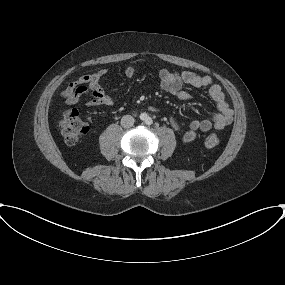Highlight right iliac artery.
Instances as JSON below:
<instances>
[{
	"instance_id": "1",
	"label": "right iliac artery",
	"mask_w": 285,
	"mask_h": 285,
	"mask_svg": "<svg viewBox=\"0 0 285 285\" xmlns=\"http://www.w3.org/2000/svg\"><path fill=\"white\" fill-rule=\"evenodd\" d=\"M141 118L144 119V115H142Z\"/></svg>"
}]
</instances>
